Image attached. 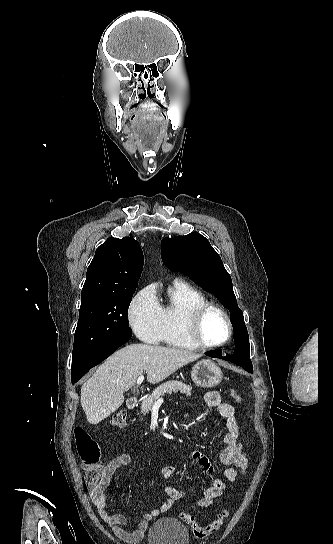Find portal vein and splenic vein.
<instances>
[{
    "label": "portal vein and splenic vein",
    "instance_id": "portal-vein-and-splenic-vein-1",
    "mask_svg": "<svg viewBox=\"0 0 333 544\" xmlns=\"http://www.w3.org/2000/svg\"><path fill=\"white\" fill-rule=\"evenodd\" d=\"M143 380H144V376L141 374V375L138 377V379H137V385L139 386V385L143 382ZM158 401H159V402H162L163 399L160 398Z\"/></svg>",
    "mask_w": 333,
    "mask_h": 544
}]
</instances>
